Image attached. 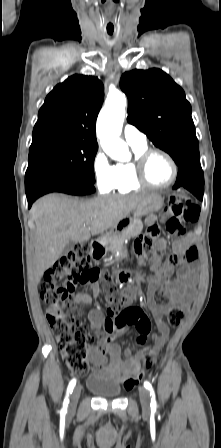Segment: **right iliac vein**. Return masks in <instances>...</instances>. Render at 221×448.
<instances>
[{
    "instance_id": "1",
    "label": "right iliac vein",
    "mask_w": 221,
    "mask_h": 448,
    "mask_svg": "<svg viewBox=\"0 0 221 448\" xmlns=\"http://www.w3.org/2000/svg\"><path fill=\"white\" fill-rule=\"evenodd\" d=\"M81 393V387L76 386L71 394L70 411H74Z\"/></svg>"
}]
</instances>
